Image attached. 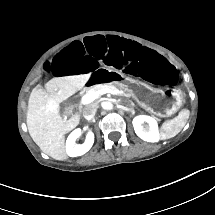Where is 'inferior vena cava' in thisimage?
I'll list each match as a JSON object with an SVG mask.
<instances>
[{
    "instance_id": "obj_1",
    "label": "inferior vena cava",
    "mask_w": 215,
    "mask_h": 215,
    "mask_svg": "<svg viewBox=\"0 0 215 215\" xmlns=\"http://www.w3.org/2000/svg\"><path fill=\"white\" fill-rule=\"evenodd\" d=\"M97 106L95 104H88L82 108L83 117L86 120H92L96 114Z\"/></svg>"
}]
</instances>
